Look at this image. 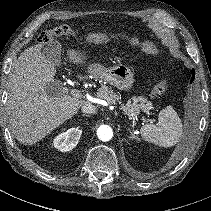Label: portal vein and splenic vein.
<instances>
[{
  "mask_svg": "<svg viewBox=\"0 0 211 211\" xmlns=\"http://www.w3.org/2000/svg\"><path fill=\"white\" fill-rule=\"evenodd\" d=\"M70 93L75 98H78V99L82 98V94H81V92L79 90L72 89Z\"/></svg>",
  "mask_w": 211,
  "mask_h": 211,
  "instance_id": "portal-vein-and-splenic-vein-1",
  "label": "portal vein and splenic vein"
}]
</instances>
